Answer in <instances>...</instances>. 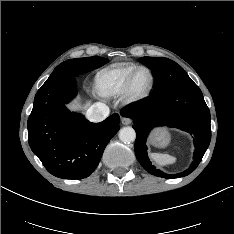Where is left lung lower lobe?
I'll list each match as a JSON object with an SVG mask.
<instances>
[{
    "label": "left lung lower lobe",
    "mask_w": 234,
    "mask_h": 234,
    "mask_svg": "<svg viewBox=\"0 0 234 234\" xmlns=\"http://www.w3.org/2000/svg\"><path fill=\"white\" fill-rule=\"evenodd\" d=\"M121 115L133 119L136 130L135 155L142 167L152 175L163 178H179L193 172L211 140L210 112L199 87L190 79L177 81L153 92L139 105L121 111ZM167 125L194 135V161L184 172L170 175L156 169L147 155L146 139L151 129Z\"/></svg>",
    "instance_id": "1"
}]
</instances>
